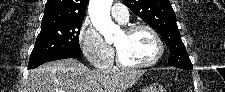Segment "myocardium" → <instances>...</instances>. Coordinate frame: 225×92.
I'll use <instances>...</instances> for the list:
<instances>
[{
	"instance_id": "1",
	"label": "myocardium",
	"mask_w": 225,
	"mask_h": 92,
	"mask_svg": "<svg viewBox=\"0 0 225 92\" xmlns=\"http://www.w3.org/2000/svg\"><path fill=\"white\" fill-rule=\"evenodd\" d=\"M138 30H146L153 36V38L156 42V45H157V52L151 60H149L145 63H128L123 59L119 50L116 47V61H117V64L119 66H121L122 68H125V69H145V68L151 67V66L155 65L161 59V57L164 53L163 41H162L160 35L158 34V32L152 26L147 25V24H143V23H136V24H132V25L126 27L124 29V32L126 34H130V33H133L135 31H138Z\"/></svg>"
}]
</instances>
